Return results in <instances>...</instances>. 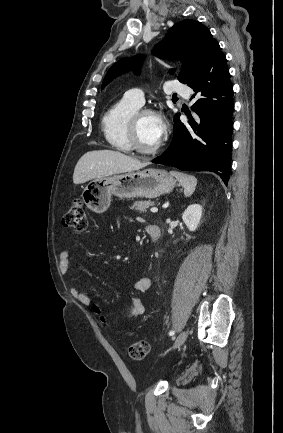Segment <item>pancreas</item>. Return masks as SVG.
<instances>
[{"label": "pancreas", "instance_id": "pancreas-1", "mask_svg": "<svg viewBox=\"0 0 283 433\" xmlns=\"http://www.w3.org/2000/svg\"><path fill=\"white\" fill-rule=\"evenodd\" d=\"M152 200H135L131 208H135L138 212H147L148 206H151Z\"/></svg>", "mask_w": 283, "mask_h": 433}]
</instances>
